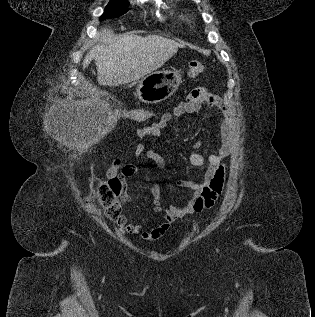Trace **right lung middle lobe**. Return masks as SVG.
<instances>
[{
	"label": "right lung middle lobe",
	"instance_id": "right-lung-middle-lobe-1",
	"mask_svg": "<svg viewBox=\"0 0 315 317\" xmlns=\"http://www.w3.org/2000/svg\"><path fill=\"white\" fill-rule=\"evenodd\" d=\"M128 11L127 0H110L105 8L104 14L100 17V21L119 17Z\"/></svg>",
	"mask_w": 315,
	"mask_h": 317
}]
</instances>
